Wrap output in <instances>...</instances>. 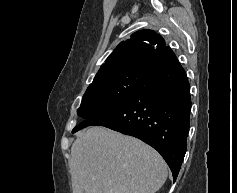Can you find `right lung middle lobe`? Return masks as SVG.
<instances>
[{"mask_svg":"<svg viewBox=\"0 0 237 193\" xmlns=\"http://www.w3.org/2000/svg\"><path fill=\"white\" fill-rule=\"evenodd\" d=\"M144 72H131L92 82L77 113L85 120L104 114L126 101L141 85Z\"/></svg>","mask_w":237,"mask_h":193,"instance_id":"1","label":"right lung middle lobe"}]
</instances>
